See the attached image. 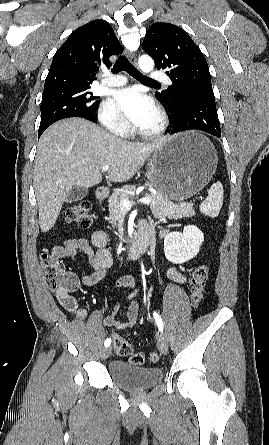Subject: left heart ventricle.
Instances as JSON below:
<instances>
[{"instance_id":"left-heart-ventricle-1","label":"left heart ventricle","mask_w":269,"mask_h":445,"mask_svg":"<svg viewBox=\"0 0 269 445\" xmlns=\"http://www.w3.org/2000/svg\"><path fill=\"white\" fill-rule=\"evenodd\" d=\"M159 123L158 115L156 114L148 123L143 125L140 129L149 131L154 129Z\"/></svg>"}]
</instances>
